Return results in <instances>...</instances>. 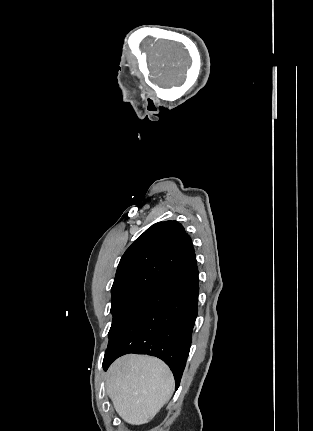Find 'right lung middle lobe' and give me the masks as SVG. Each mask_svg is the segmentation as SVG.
Wrapping results in <instances>:
<instances>
[{
  "label": "right lung middle lobe",
  "mask_w": 313,
  "mask_h": 431,
  "mask_svg": "<svg viewBox=\"0 0 313 431\" xmlns=\"http://www.w3.org/2000/svg\"><path fill=\"white\" fill-rule=\"evenodd\" d=\"M147 296V294L128 293L112 297L111 313L113 314V321L109 331V342L118 334Z\"/></svg>",
  "instance_id": "1"
}]
</instances>
